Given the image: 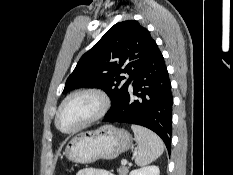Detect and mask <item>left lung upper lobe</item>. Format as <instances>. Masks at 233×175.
I'll list each match as a JSON object with an SVG mask.
<instances>
[{
    "label": "left lung upper lobe",
    "mask_w": 233,
    "mask_h": 175,
    "mask_svg": "<svg viewBox=\"0 0 233 175\" xmlns=\"http://www.w3.org/2000/svg\"><path fill=\"white\" fill-rule=\"evenodd\" d=\"M156 46L149 31L137 21L115 24L80 58L63 93L80 87L101 88L111 98L105 116L109 115L120 106L130 82ZM124 73L130 75L126 82Z\"/></svg>",
    "instance_id": "left-lung-upper-lobe-1"
}]
</instances>
